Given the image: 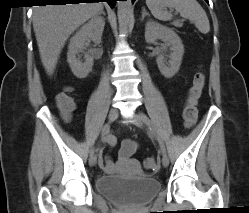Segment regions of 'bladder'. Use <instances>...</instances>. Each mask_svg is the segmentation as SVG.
<instances>
[{
	"label": "bladder",
	"mask_w": 249,
	"mask_h": 213,
	"mask_svg": "<svg viewBox=\"0 0 249 213\" xmlns=\"http://www.w3.org/2000/svg\"><path fill=\"white\" fill-rule=\"evenodd\" d=\"M97 190L110 200L126 206H139L150 201L159 191L160 182L147 175L128 178L118 175L101 176Z\"/></svg>",
	"instance_id": "31cf9c89"
}]
</instances>
